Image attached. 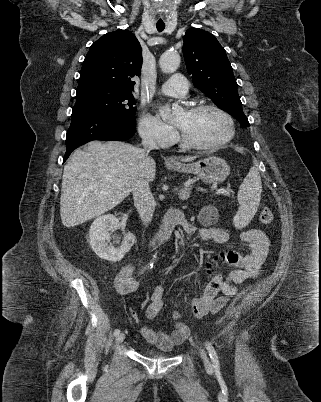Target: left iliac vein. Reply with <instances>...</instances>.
<instances>
[{
	"label": "left iliac vein",
	"instance_id": "4c4485c4",
	"mask_svg": "<svg viewBox=\"0 0 321 402\" xmlns=\"http://www.w3.org/2000/svg\"><path fill=\"white\" fill-rule=\"evenodd\" d=\"M200 356H201V358H202L204 364H205L207 367H209V366L211 365V363H210L209 358H208V356H207V353L205 352L204 349H200Z\"/></svg>",
	"mask_w": 321,
	"mask_h": 402
}]
</instances>
